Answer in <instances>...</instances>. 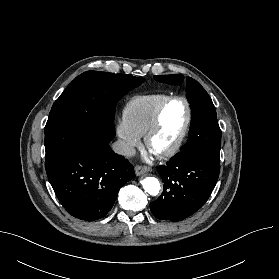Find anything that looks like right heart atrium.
<instances>
[{
	"label": "right heart atrium",
	"mask_w": 279,
	"mask_h": 279,
	"mask_svg": "<svg viewBox=\"0 0 279 279\" xmlns=\"http://www.w3.org/2000/svg\"><path fill=\"white\" fill-rule=\"evenodd\" d=\"M120 151L129 156L140 144L141 136L130 126L125 117L120 118L116 125Z\"/></svg>",
	"instance_id": "obj_1"
}]
</instances>
